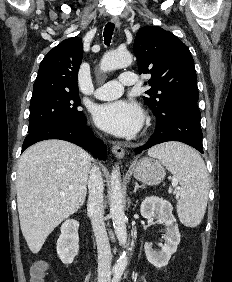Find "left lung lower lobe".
<instances>
[{"mask_svg":"<svg viewBox=\"0 0 232 282\" xmlns=\"http://www.w3.org/2000/svg\"><path fill=\"white\" fill-rule=\"evenodd\" d=\"M154 115L157 121L156 130L145 145L135 149V154L167 141L183 142L203 153L197 102L179 99Z\"/></svg>","mask_w":232,"mask_h":282,"instance_id":"obj_1","label":"left lung lower lobe"}]
</instances>
